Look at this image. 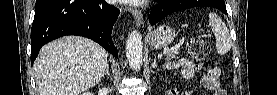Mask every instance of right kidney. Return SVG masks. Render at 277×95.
Instances as JSON below:
<instances>
[{"label": "right kidney", "instance_id": "right-kidney-1", "mask_svg": "<svg viewBox=\"0 0 277 95\" xmlns=\"http://www.w3.org/2000/svg\"><path fill=\"white\" fill-rule=\"evenodd\" d=\"M83 95H93V94L90 92H86V93H83Z\"/></svg>", "mask_w": 277, "mask_h": 95}]
</instances>
